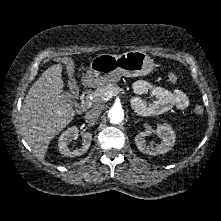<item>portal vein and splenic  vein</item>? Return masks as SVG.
<instances>
[{
	"mask_svg": "<svg viewBox=\"0 0 221 221\" xmlns=\"http://www.w3.org/2000/svg\"><path fill=\"white\" fill-rule=\"evenodd\" d=\"M106 96H107L108 98H112L113 96H115V93L110 90V91H108V92L106 93Z\"/></svg>",
	"mask_w": 221,
	"mask_h": 221,
	"instance_id": "18ae733b",
	"label": "portal vein and splenic vein"
}]
</instances>
